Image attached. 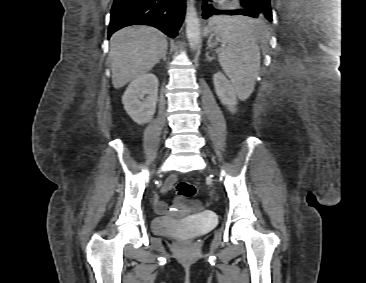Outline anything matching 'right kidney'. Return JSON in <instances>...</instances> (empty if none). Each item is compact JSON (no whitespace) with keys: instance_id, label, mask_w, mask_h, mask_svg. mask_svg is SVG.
Here are the masks:
<instances>
[{"instance_id":"ca27d5eb","label":"right kidney","mask_w":366,"mask_h":283,"mask_svg":"<svg viewBox=\"0 0 366 283\" xmlns=\"http://www.w3.org/2000/svg\"><path fill=\"white\" fill-rule=\"evenodd\" d=\"M158 86V78L152 73L140 75L128 85L122 103L134 122L145 124L152 120L158 101Z\"/></svg>"}]
</instances>
